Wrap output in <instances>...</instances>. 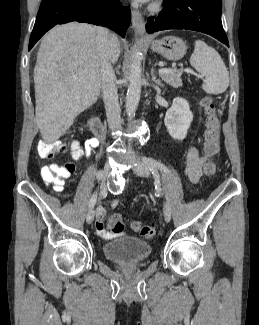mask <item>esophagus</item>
<instances>
[{
	"mask_svg": "<svg viewBox=\"0 0 259 325\" xmlns=\"http://www.w3.org/2000/svg\"><path fill=\"white\" fill-rule=\"evenodd\" d=\"M131 20L133 27L137 29L142 35H144V37H146L144 21L141 13L137 10H132Z\"/></svg>",
	"mask_w": 259,
	"mask_h": 325,
	"instance_id": "34e87169",
	"label": "esophagus"
}]
</instances>
